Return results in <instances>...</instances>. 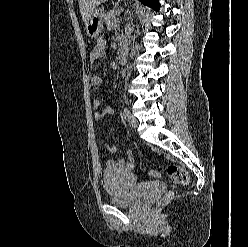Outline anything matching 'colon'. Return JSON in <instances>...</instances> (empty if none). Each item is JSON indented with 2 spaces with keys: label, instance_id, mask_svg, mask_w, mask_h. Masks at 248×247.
<instances>
[{
  "label": "colon",
  "instance_id": "obj_1",
  "mask_svg": "<svg viewBox=\"0 0 248 247\" xmlns=\"http://www.w3.org/2000/svg\"><path fill=\"white\" fill-rule=\"evenodd\" d=\"M167 174L169 178L178 186H187L190 182V177L188 172L180 165L171 164L167 167ZM149 175L151 177H158V172L156 171H150ZM173 196V192L169 191L166 193V195L163 197V201H167L171 199Z\"/></svg>",
  "mask_w": 248,
  "mask_h": 247
}]
</instances>
